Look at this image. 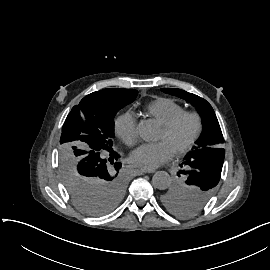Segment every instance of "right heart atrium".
<instances>
[{
  "label": "right heart atrium",
  "mask_w": 270,
  "mask_h": 270,
  "mask_svg": "<svg viewBox=\"0 0 270 270\" xmlns=\"http://www.w3.org/2000/svg\"><path fill=\"white\" fill-rule=\"evenodd\" d=\"M116 135L129 147L138 142L137 121L131 112L117 118L114 125Z\"/></svg>",
  "instance_id": "1"
}]
</instances>
